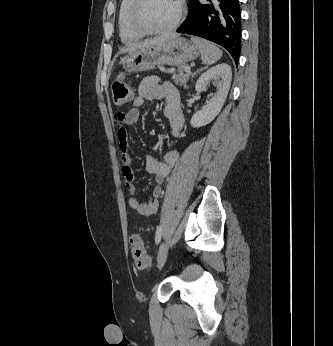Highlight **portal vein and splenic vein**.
<instances>
[{"mask_svg": "<svg viewBox=\"0 0 333 346\" xmlns=\"http://www.w3.org/2000/svg\"><path fill=\"white\" fill-rule=\"evenodd\" d=\"M185 72H186V73H190V67H186V68H185Z\"/></svg>", "mask_w": 333, "mask_h": 346, "instance_id": "1", "label": "portal vein and splenic vein"}]
</instances>
